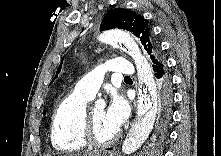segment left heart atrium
<instances>
[{"label":"left heart atrium","mask_w":221,"mask_h":156,"mask_svg":"<svg viewBox=\"0 0 221 156\" xmlns=\"http://www.w3.org/2000/svg\"><path fill=\"white\" fill-rule=\"evenodd\" d=\"M129 116V106L126 100L114 95L108 108L105 110V119L108 126L117 132Z\"/></svg>","instance_id":"left-heart-atrium-1"}]
</instances>
